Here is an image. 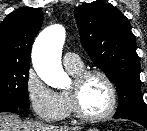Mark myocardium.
Wrapping results in <instances>:
<instances>
[{"mask_svg": "<svg viewBox=\"0 0 147 131\" xmlns=\"http://www.w3.org/2000/svg\"><path fill=\"white\" fill-rule=\"evenodd\" d=\"M92 76L102 78L105 81L110 93V103L108 108L103 113L98 115L86 114L81 107L79 99L80 86ZM73 83L74 87L69 89L67 92L70 97L73 113L77 118L86 122H97L104 120L113 114L117 106L118 94L116 86L108 74L99 69L82 70L80 73L74 76Z\"/></svg>", "mask_w": 147, "mask_h": 131, "instance_id": "1", "label": "myocardium"}]
</instances>
